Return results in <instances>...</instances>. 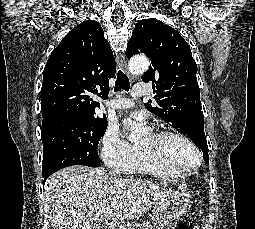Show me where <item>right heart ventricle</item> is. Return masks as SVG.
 <instances>
[{"mask_svg": "<svg viewBox=\"0 0 255 229\" xmlns=\"http://www.w3.org/2000/svg\"><path fill=\"white\" fill-rule=\"evenodd\" d=\"M123 171L129 174L154 176L162 179L180 178V176H174L167 170L158 166L138 146H134L132 157L124 166Z\"/></svg>", "mask_w": 255, "mask_h": 229, "instance_id": "obj_1", "label": "right heart ventricle"}]
</instances>
